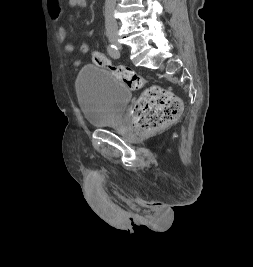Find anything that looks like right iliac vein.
Here are the masks:
<instances>
[{
  "label": "right iliac vein",
  "instance_id": "right-iliac-vein-1",
  "mask_svg": "<svg viewBox=\"0 0 253 267\" xmlns=\"http://www.w3.org/2000/svg\"><path fill=\"white\" fill-rule=\"evenodd\" d=\"M109 40L114 44V45H119L117 38L115 36H111L109 37Z\"/></svg>",
  "mask_w": 253,
  "mask_h": 267
}]
</instances>
